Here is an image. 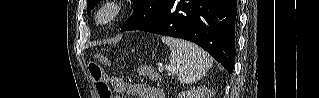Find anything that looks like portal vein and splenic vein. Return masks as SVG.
Listing matches in <instances>:
<instances>
[{
  "mask_svg": "<svg viewBox=\"0 0 319 98\" xmlns=\"http://www.w3.org/2000/svg\"><path fill=\"white\" fill-rule=\"evenodd\" d=\"M165 68H166V69H168V70H170V69H171V68H170V67H168V66H165ZM163 69H164V67H160V68H159V70H163Z\"/></svg>",
  "mask_w": 319,
  "mask_h": 98,
  "instance_id": "1",
  "label": "portal vein and splenic vein"
}]
</instances>
